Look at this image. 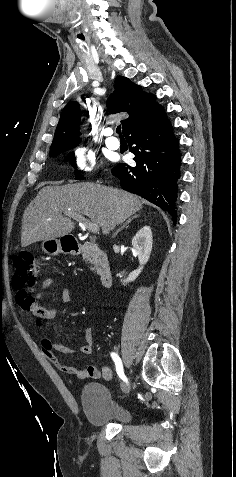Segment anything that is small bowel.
<instances>
[{
  "label": "small bowel",
  "mask_w": 236,
  "mask_h": 477,
  "mask_svg": "<svg viewBox=\"0 0 236 477\" xmlns=\"http://www.w3.org/2000/svg\"><path fill=\"white\" fill-rule=\"evenodd\" d=\"M54 279L46 278L41 282L40 290L34 296H31L29 302L25 307H20L24 312H28L35 317V326L39 331H42L40 320H52L56 317L57 311L55 308H45L41 302L43 299V293L54 284ZM61 301L64 304L71 302V295L68 289H63L61 294ZM85 343L80 346L78 352L84 355H90L93 353V331L90 327H85L83 330ZM41 350L48 360L57 364L61 371L74 376L77 379H100L109 381L112 378V372L107 366H99L96 364H90L85 368H75L59 362L55 352L63 354H71L75 351L66 347L62 343L56 341L53 338L42 336L41 338Z\"/></svg>",
  "instance_id": "obj_1"
}]
</instances>
